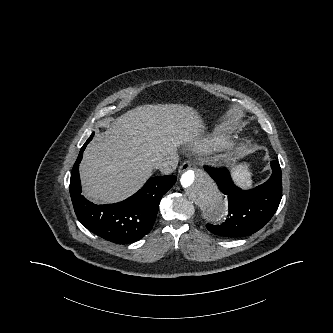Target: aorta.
<instances>
[{
	"label": "aorta",
	"instance_id": "obj_1",
	"mask_svg": "<svg viewBox=\"0 0 333 333\" xmlns=\"http://www.w3.org/2000/svg\"><path fill=\"white\" fill-rule=\"evenodd\" d=\"M186 198L200 211L204 219L218 223L226 214L224 195L204 170H187L180 178Z\"/></svg>",
	"mask_w": 333,
	"mask_h": 333
}]
</instances>
